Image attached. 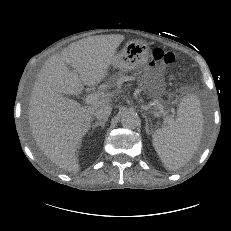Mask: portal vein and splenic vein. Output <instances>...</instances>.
<instances>
[{
    "label": "portal vein and splenic vein",
    "instance_id": "1",
    "mask_svg": "<svg viewBox=\"0 0 231 231\" xmlns=\"http://www.w3.org/2000/svg\"><path fill=\"white\" fill-rule=\"evenodd\" d=\"M99 100V94L97 93H91L86 96L85 102L86 104H93ZM160 113L165 117L166 120H168L167 114L164 112L163 108H160Z\"/></svg>",
    "mask_w": 231,
    "mask_h": 231
}]
</instances>
